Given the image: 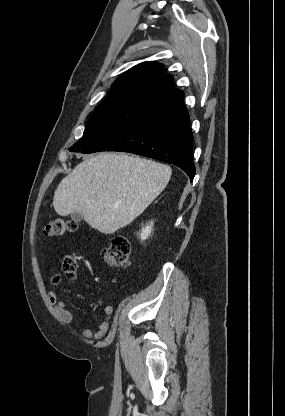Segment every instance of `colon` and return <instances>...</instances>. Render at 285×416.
Listing matches in <instances>:
<instances>
[{"label": "colon", "instance_id": "1", "mask_svg": "<svg viewBox=\"0 0 285 416\" xmlns=\"http://www.w3.org/2000/svg\"><path fill=\"white\" fill-rule=\"evenodd\" d=\"M78 225L73 220L54 219L50 221L44 234L49 237H59L76 231ZM101 259L105 264L111 267L126 268L130 264V242L127 237L117 235L112 238L108 247L102 249ZM63 274L68 278H75L77 272V263L72 256H66L62 262ZM61 276H56L54 282H59Z\"/></svg>", "mask_w": 285, "mask_h": 416}]
</instances>
